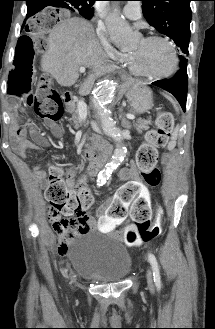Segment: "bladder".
<instances>
[{
    "label": "bladder",
    "mask_w": 215,
    "mask_h": 329,
    "mask_svg": "<svg viewBox=\"0 0 215 329\" xmlns=\"http://www.w3.org/2000/svg\"><path fill=\"white\" fill-rule=\"evenodd\" d=\"M69 254L77 273L98 283L119 282L132 270L131 254L121 240L97 231L79 234Z\"/></svg>",
    "instance_id": "bladder-1"
}]
</instances>
